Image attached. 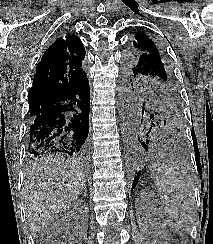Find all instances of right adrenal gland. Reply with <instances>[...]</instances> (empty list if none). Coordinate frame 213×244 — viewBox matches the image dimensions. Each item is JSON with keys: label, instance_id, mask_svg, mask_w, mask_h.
Segmentation results:
<instances>
[{"label": "right adrenal gland", "instance_id": "right-adrenal-gland-1", "mask_svg": "<svg viewBox=\"0 0 213 244\" xmlns=\"http://www.w3.org/2000/svg\"><path fill=\"white\" fill-rule=\"evenodd\" d=\"M82 194H83L85 197L87 196L86 188L83 189Z\"/></svg>", "mask_w": 213, "mask_h": 244}]
</instances>
